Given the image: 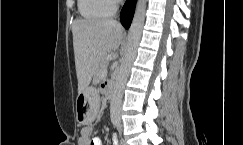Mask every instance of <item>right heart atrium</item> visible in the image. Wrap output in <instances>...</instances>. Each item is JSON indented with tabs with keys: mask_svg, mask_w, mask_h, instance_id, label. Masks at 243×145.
Returning <instances> with one entry per match:
<instances>
[{
	"mask_svg": "<svg viewBox=\"0 0 243 145\" xmlns=\"http://www.w3.org/2000/svg\"><path fill=\"white\" fill-rule=\"evenodd\" d=\"M110 3L112 4V6H115V4L119 1V0H109Z\"/></svg>",
	"mask_w": 243,
	"mask_h": 145,
	"instance_id": "1",
	"label": "right heart atrium"
}]
</instances>
